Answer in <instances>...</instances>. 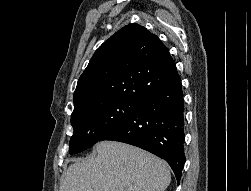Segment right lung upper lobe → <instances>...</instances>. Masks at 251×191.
<instances>
[{"label": "right lung upper lobe", "instance_id": "right-lung-upper-lobe-1", "mask_svg": "<svg viewBox=\"0 0 251 191\" xmlns=\"http://www.w3.org/2000/svg\"><path fill=\"white\" fill-rule=\"evenodd\" d=\"M178 78L175 62L160 39L129 24L94 53L78 80L74 110L118 100L140 103Z\"/></svg>", "mask_w": 251, "mask_h": 191}]
</instances>
